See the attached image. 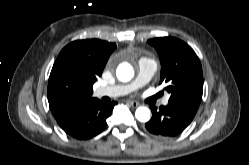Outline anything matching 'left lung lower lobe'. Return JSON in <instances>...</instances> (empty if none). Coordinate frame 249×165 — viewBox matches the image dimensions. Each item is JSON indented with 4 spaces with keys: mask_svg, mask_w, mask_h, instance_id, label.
<instances>
[{
    "mask_svg": "<svg viewBox=\"0 0 249 165\" xmlns=\"http://www.w3.org/2000/svg\"><path fill=\"white\" fill-rule=\"evenodd\" d=\"M152 118L145 124L146 129L158 137H175L193 120L197 111L185 106L168 103L159 109L151 106Z\"/></svg>",
    "mask_w": 249,
    "mask_h": 165,
    "instance_id": "left-lung-lower-lobe-1",
    "label": "left lung lower lobe"
}]
</instances>
